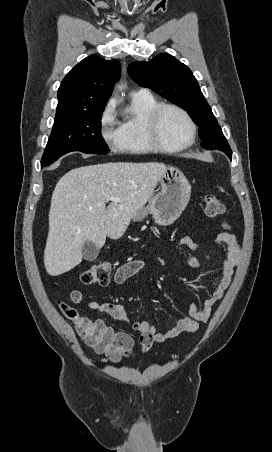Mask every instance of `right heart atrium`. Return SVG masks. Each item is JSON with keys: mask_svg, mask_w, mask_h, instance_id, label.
Listing matches in <instances>:
<instances>
[{"mask_svg": "<svg viewBox=\"0 0 272 452\" xmlns=\"http://www.w3.org/2000/svg\"><path fill=\"white\" fill-rule=\"evenodd\" d=\"M99 133L102 140L111 150H121L122 135L120 127L117 126L112 103H108L101 112L99 118Z\"/></svg>", "mask_w": 272, "mask_h": 452, "instance_id": "d8ad5b80", "label": "right heart atrium"}]
</instances>
